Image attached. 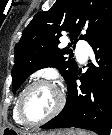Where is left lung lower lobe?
Wrapping results in <instances>:
<instances>
[{
	"label": "left lung lower lobe",
	"mask_w": 112,
	"mask_h": 135,
	"mask_svg": "<svg viewBox=\"0 0 112 135\" xmlns=\"http://www.w3.org/2000/svg\"><path fill=\"white\" fill-rule=\"evenodd\" d=\"M90 46L96 65L80 77L77 72L67 83L68 96L63 110L41 128L87 129L109 135L112 128V21ZM81 84L77 86L76 80Z\"/></svg>",
	"instance_id": "left-lung-lower-lobe-1"
}]
</instances>
